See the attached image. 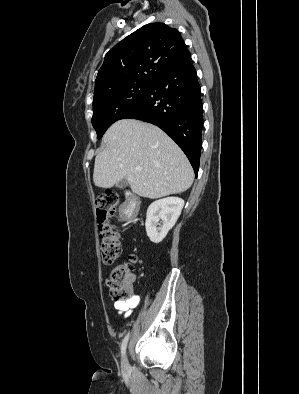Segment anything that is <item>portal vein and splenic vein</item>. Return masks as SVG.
<instances>
[{"mask_svg":"<svg viewBox=\"0 0 299 394\" xmlns=\"http://www.w3.org/2000/svg\"><path fill=\"white\" fill-rule=\"evenodd\" d=\"M136 170L137 171H141V167H136Z\"/></svg>","mask_w":299,"mask_h":394,"instance_id":"obj_1","label":"portal vein and splenic vein"}]
</instances>
